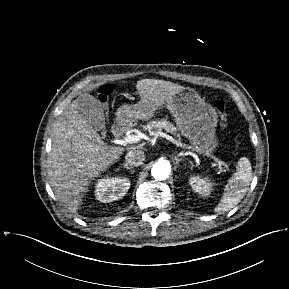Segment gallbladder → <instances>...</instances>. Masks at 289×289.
Wrapping results in <instances>:
<instances>
[{"label": "gallbladder", "mask_w": 289, "mask_h": 289, "mask_svg": "<svg viewBox=\"0 0 289 289\" xmlns=\"http://www.w3.org/2000/svg\"><path fill=\"white\" fill-rule=\"evenodd\" d=\"M79 112L87 123L96 131H101L103 138L106 134L104 111L98 101L89 94L79 98Z\"/></svg>", "instance_id": "1"}]
</instances>
